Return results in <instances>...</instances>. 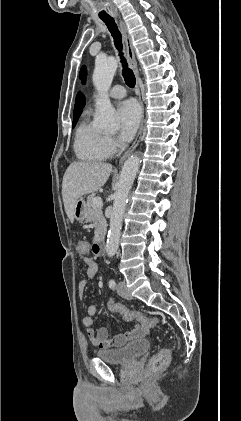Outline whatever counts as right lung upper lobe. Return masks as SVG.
Instances as JSON below:
<instances>
[{
  "instance_id": "1",
  "label": "right lung upper lobe",
  "mask_w": 241,
  "mask_h": 421,
  "mask_svg": "<svg viewBox=\"0 0 241 421\" xmlns=\"http://www.w3.org/2000/svg\"><path fill=\"white\" fill-rule=\"evenodd\" d=\"M84 105L85 97L81 92H78L74 106V118H79Z\"/></svg>"
}]
</instances>
